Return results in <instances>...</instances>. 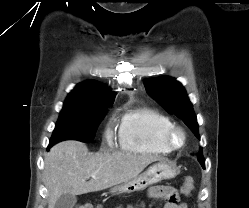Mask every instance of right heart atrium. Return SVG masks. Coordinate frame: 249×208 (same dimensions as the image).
<instances>
[{"label": "right heart atrium", "mask_w": 249, "mask_h": 208, "mask_svg": "<svg viewBox=\"0 0 249 208\" xmlns=\"http://www.w3.org/2000/svg\"><path fill=\"white\" fill-rule=\"evenodd\" d=\"M105 138H106V141L108 143H110L112 140V133H111V130L109 128H107L105 131Z\"/></svg>", "instance_id": "d8ad5b80"}]
</instances>
